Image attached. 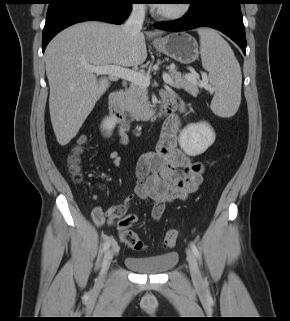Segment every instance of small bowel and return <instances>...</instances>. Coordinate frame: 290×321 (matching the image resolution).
<instances>
[{"label":"small bowel","mask_w":290,"mask_h":321,"mask_svg":"<svg viewBox=\"0 0 290 321\" xmlns=\"http://www.w3.org/2000/svg\"><path fill=\"white\" fill-rule=\"evenodd\" d=\"M168 94L166 90L161 92L162 97ZM181 125L182 122L177 116L168 118L161 129L156 149L138 158L137 183L133 194L108 210L102 206L93 209L92 218L98 227H102L106 222L112 224L116 219L123 217L135 196L151 201V217L153 220H159L167 203L184 200L197 190L202 183L205 168L201 162L177 147ZM129 130L128 123L119 124L118 135L122 145L129 142ZM114 248L116 249V246Z\"/></svg>","instance_id":"small-bowel-1"}]
</instances>
